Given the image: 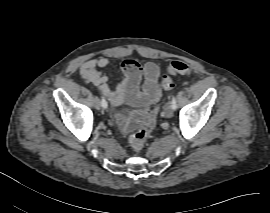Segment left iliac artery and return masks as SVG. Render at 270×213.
<instances>
[{
    "label": "left iliac artery",
    "mask_w": 270,
    "mask_h": 213,
    "mask_svg": "<svg viewBox=\"0 0 270 213\" xmlns=\"http://www.w3.org/2000/svg\"><path fill=\"white\" fill-rule=\"evenodd\" d=\"M171 107H172L173 110L177 109L176 98H175L174 95L172 96V99H171Z\"/></svg>",
    "instance_id": "left-iliac-artery-1"
}]
</instances>
